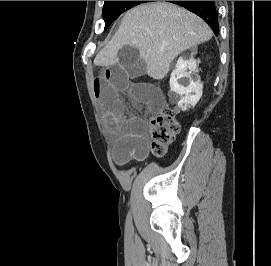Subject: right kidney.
I'll use <instances>...</instances> for the list:
<instances>
[{
  "label": "right kidney",
  "instance_id": "ca27d5eb",
  "mask_svg": "<svg viewBox=\"0 0 271 266\" xmlns=\"http://www.w3.org/2000/svg\"><path fill=\"white\" fill-rule=\"evenodd\" d=\"M187 69L190 72H187ZM197 72V61L193 58L192 53L180 56L171 74L170 90L180 96L177 105L183 111L187 107H194L202 96L203 84Z\"/></svg>",
  "mask_w": 271,
  "mask_h": 266
}]
</instances>
